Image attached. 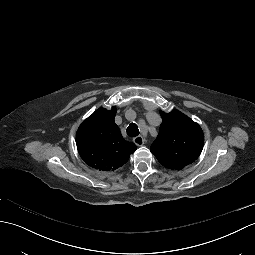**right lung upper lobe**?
I'll list each match as a JSON object with an SVG mask.
<instances>
[{
    "instance_id": "obj_1",
    "label": "right lung upper lobe",
    "mask_w": 255,
    "mask_h": 255,
    "mask_svg": "<svg viewBox=\"0 0 255 255\" xmlns=\"http://www.w3.org/2000/svg\"><path fill=\"white\" fill-rule=\"evenodd\" d=\"M116 108H100L78 128L76 144L84 162L97 170L113 171L125 164L136 145L127 142L115 124Z\"/></svg>"
}]
</instances>
